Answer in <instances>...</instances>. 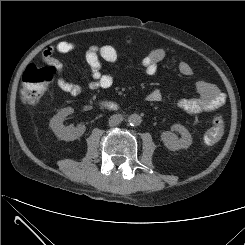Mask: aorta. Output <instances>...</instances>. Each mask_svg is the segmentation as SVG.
<instances>
[{"label": "aorta", "mask_w": 245, "mask_h": 245, "mask_svg": "<svg viewBox=\"0 0 245 245\" xmlns=\"http://www.w3.org/2000/svg\"><path fill=\"white\" fill-rule=\"evenodd\" d=\"M127 120L131 126H138L142 122L141 116L136 113L129 115Z\"/></svg>", "instance_id": "762f6f07"}]
</instances>
